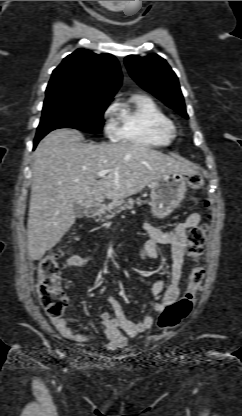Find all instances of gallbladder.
Here are the masks:
<instances>
[{
	"mask_svg": "<svg viewBox=\"0 0 242 416\" xmlns=\"http://www.w3.org/2000/svg\"><path fill=\"white\" fill-rule=\"evenodd\" d=\"M73 209H74V212H75V216L77 218H82L84 216L85 209H84L83 206H81L77 203H73Z\"/></svg>",
	"mask_w": 242,
	"mask_h": 416,
	"instance_id": "obj_1",
	"label": "gallbladder"
}]
</instances>
